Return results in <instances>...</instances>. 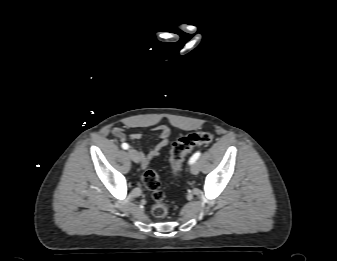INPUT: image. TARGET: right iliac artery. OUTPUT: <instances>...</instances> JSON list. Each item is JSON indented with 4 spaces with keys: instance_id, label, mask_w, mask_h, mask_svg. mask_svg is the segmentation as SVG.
Listing matches in <instances>:
<instances>
[{
    "instance_id": "right-iliac-artery-1",
    "label": "right iliac artery",
    "mask_w": 337,
    "mask_h": 261,
    "mask_svg": "<svg viewBox=\"0 0 337 261\" xmlns=\"http://www.w3.org/2000/svg\"><path fill=\"white\" fill-rule=\"evenodd\" d=\"M122 148H123V149H128V148H129V145H128L127 143H123V144H122Z\"/></svg>"
}]
</instances>
